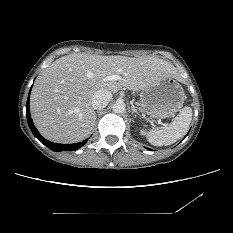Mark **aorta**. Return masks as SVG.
<instances>
[{"instance_id":"762f6f07","label":"aorta","mask_w":233,"mask_h":233,"mask_svg":"<svg viewBox=\"0 0 233 233\" xmlns=\"http://www.w3.org/2000/svg\"><path fill=\"white\" fill-rule=\"evenodd\" d=\"M112 108L113 112L117 114L124 113V111L126 110V106L123 101H116Z\"/></svg>"}]
</instances>
